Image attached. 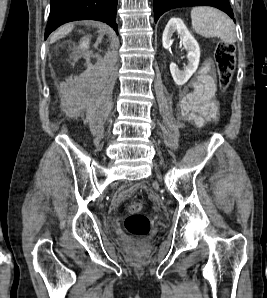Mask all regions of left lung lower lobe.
I'll return each mask as SVG.
<instances>
[{"mask_svg": "<svg viewBox=\"0 0 267 298\" xmlns=\"http://www.w3.org/2000/svg\"><path fill=\"white\" fill-rule=\"evenodd\" d=\"M200 5L216 7L227 13L231 18L234 17L228 0H154L155 22L164 12L170 9Z\"/></svg>", "mask_w": 267, "mask_h": 298, "instance_id": "obj_1", "label": "left lung lower lobe"}]
</instances>
